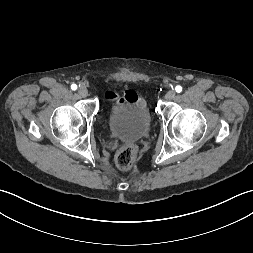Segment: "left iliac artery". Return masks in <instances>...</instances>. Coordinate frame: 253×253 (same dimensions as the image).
Segmentation results:
<instances>
[{"instance_id":"obj_1","label":"left iliac artery","mask_w":253,"mask_h":253,"mask_svg":"<svg viewBox=\"0 0 253 253\" xmlns=\"http://www.w3.org/2000/svg\"><path fill=\"white\" fill-rule=\"evenodd\" d=\"M175 91H176L177 93H180V92L182 91V87H181L180 85H177V86L175 87Z\"/></svg>"}]
</instances>
